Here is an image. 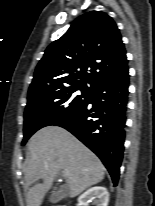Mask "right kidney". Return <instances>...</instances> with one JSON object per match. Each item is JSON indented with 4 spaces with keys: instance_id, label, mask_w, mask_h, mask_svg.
Instances as JSON below:
<instances>
[{
    "instance_id": "1",
    "label": "right kidney",
    "mask_w": 155,
    "mask_h": 206,
    "mask_svg": "<svg viewBox=\"0 0 155 206\" xmlns=\"http://www.w3.org/2000/svg\"><path fill=\"white\" fill-rule=\"evenodd\" d=\"M91 201L95 206H107L109 201L107 189L102 186L92 187L78 198L81 206H88V203Z\"/></svg>"
}]
</instances>
